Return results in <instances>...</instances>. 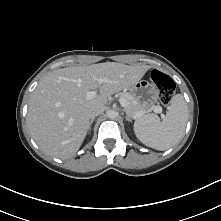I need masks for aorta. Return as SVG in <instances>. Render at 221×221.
Instances as JSON below:
<instances>
[{
	"label": "aorta",
	"mask_w": 221,
	"mask_h": 221,
	"mask_svg": "<svg viewBox=\"0 0 221 221\" xmlns=\"http://www.w3.org/2000/svg\"><path fill=\"white\" fill-rule=\"evenodd\" d=\"M107 116L110 118V119H115L117 116H118V113L115 111V110H109L107 112Z\"/></svg>",
	"instance_id": "762f6f07"
}]
</instances>
